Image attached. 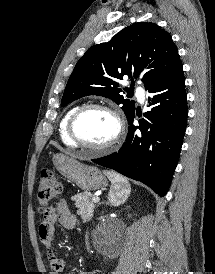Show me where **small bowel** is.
Listing matches in <instances>:
<instances>
[{
    "label": "small bowel",
    "instance_id": "1",
    "mask_svg": "<svg viewBox=\"0 0 215 274\" xmlns=\"http://www.w3.org/2000/svg\"><path fill=\"white\" fill-rule=\"evenodd\" d=\"M60 223L66 229H74L79 226L77 217L70 211L65 200H60L51 207L43 216L39 225V237L46 247L47 259L50 265V274H59L65 268L66 262L56 255L53 250L56 224ZM100 270L86 271L82 274H99Z\"/></svg>",
    "mask_w": 215,
    "mask_h": 274
}]
</instances>
